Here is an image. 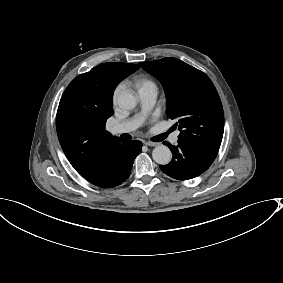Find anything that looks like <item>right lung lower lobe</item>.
<instances>
[{"label":"right lung lower lobe","instance_id":"98d812e1","mask_svg":"<svg viewBox=\"0 0 283 283\" xmlns=\"http://www.w3.org/2000/svg\"><path fill=\"white\" fill-rule=\"evenodd\" d=\"M141 148L142 143L140 141H125L110 156L102 159L93 170L82 176L101 188H112L120 185L129 177L133 162L141 152Z\"/></svg>","mask_w":283,"mask_h":283}]
</instances>
